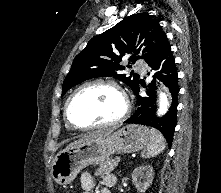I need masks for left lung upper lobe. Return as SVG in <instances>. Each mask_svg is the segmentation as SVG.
Instances as JSON below:
<instances>
[{"mask_svg": "<svg viewBox=\"0 0 221 193\" xmlns=\"http://www.w3.org/2000/svg\"><path fill=\"white\" fill-rule=\"evenodd\" d=\"M137 35H140L139 42ZM144 39V42L141 41ZM167 41L159 23L148 13L133 14L109 30L93 37L73 60L64 80L62 95L71 87L91 78L112 76L127 84L133 91L139 85V76H126V67L120 64L123 56H130V64L138 59L146 62Z\"/></svg>", "mask_w": 221, "mask_h": 193, "instance_id": "1", "label": "left lung upper lobe"}]
</instances>
